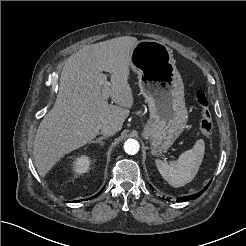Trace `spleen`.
<instances>
[{"mask_svg": "<svg viewBox=\"0 0 246 246\" xmlns=\"http://www.w3.org/2000/svg\"><path fill=\"white\" fill-rule=\"evenodd\" d=\"M204 152V140L199 139L193 148L183 152L177 161L168 163L156 159L155 163L161 176L171 186L182 187L195 178L203 161Z\"/></svg>", "mask_w": 246, "mask_h": 246, "instance_id": "spleen-1", "label": "spleen"}]
</instances>
